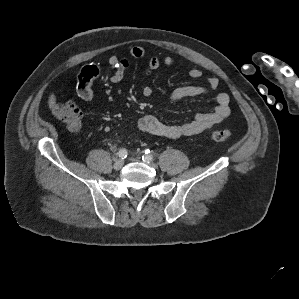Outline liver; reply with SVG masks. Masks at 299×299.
I'll return each instance as SVG.
<instances>
[{"mask_svg":"<svg viewBox=\"0 0 299 299\" xmlns=\"http://www.w3.org/2000/svg\"><path fill=\"white\" fill-rule=\"evenodd\" d=\"M55 105H56V96L54 95V93H51L48 99V106L52 110L54 109Z\"/></svg>","mask_w":299,"mask_h":299,"instance_id":"1","label":"liver"}]
</instances>
